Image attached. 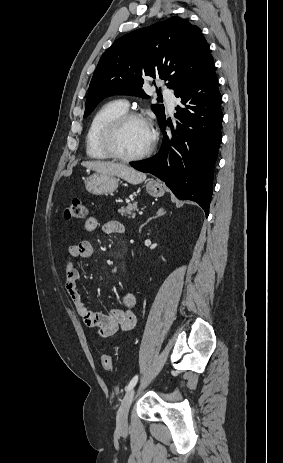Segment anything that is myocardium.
I'll list each match as a JSON object with an SVG mask.
<instances>
[{
	"label": "myocardium",
	"instance_id": "f54148a6",
	"mask_svg": "<svg viewBox=\"0 0 283 463\" xmlns=\"http://www.w3.org/2000/svg\"><path fill=\"white\" fill-rule=\"evenodd\" d=\"M131 120L142 121L149 127L151 132V141L148 147L141 153L132 156H125L116 150L114 141L121 127ZM157 138V131L152 121L147 116L136 111H126L112 119L105 126L101 134V146L109 158L128 163L143 160L150 156L155 149Z\"/></svg>",
	"mask_w": 283,
	"mask_h": 463
}]
</instances>
